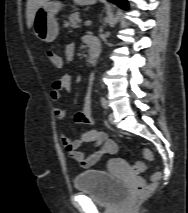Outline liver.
<instances>
[{"instance_id":"1","label":"liver","mask_w":188,"mask_h":213,"mask_svg":"<svg viewBox=\"0 0 188 213\" xmlns=\"http://www.w3.org/2000/svg\"><path fill=\"white\" fill-rule=\"evenodd\" d=\"M46 0H27V26L31 28L33 25V19L38 6Z\"/></svg>"}]
</instances>
